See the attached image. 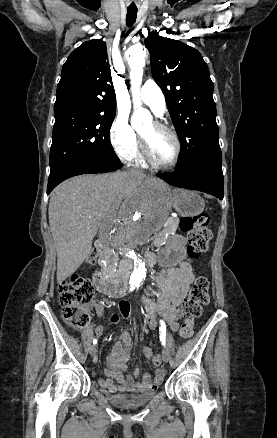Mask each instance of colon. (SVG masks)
Instances as JSON below:
<instances>
[{
  "label": "colon",
  "mask_w": 277,
  "mask_h": 438,
  "mask_svg": "<svg viewBox=\"0 0 277 438\" xmlns=\"http://www.w3.org/2000/svg\"><path fill=\"white\" fill-rule=\"evenodd\" d=\"M210 217L207 213L194 216H185L180 220V228L188 237L187 254L189 257L199 258L208 247L212 237L209 229ZM87 261H97L96 250L86 253ZM93 286L86 277L71 276L59 285V301L62 313L69 323L77 329L84 328L89 322V305L93 296ZM209 302V281L205 277L196 278L190 286L188 296L183 302L182 311L186 321L179 329L181 339H188L193 332V319L199 316L203 306ZM163 362L162 356L157 354L153 358L155 366Z\"/></svg>",
  "instance_id": "colon-1"
}]
</instances>
